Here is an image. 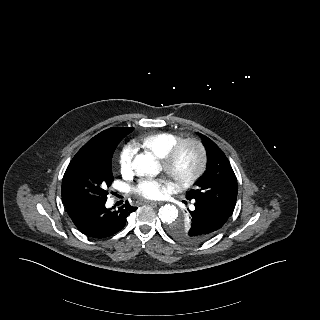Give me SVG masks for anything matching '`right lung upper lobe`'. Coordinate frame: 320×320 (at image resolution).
<instances>
[{
	"label": "right lung upper lobe",
	"mask_w": 320,
	"mask_h": 320,
	"mask_svg": "<svg viewBox=\"0 0 320 320\" xmlns=\"http://www.w3.org/2000/svg\"><path fill=\"white\" fill-rule=\"evenodd\" d=\"M133 128L128 127H112L107 130L102 131L90 141H88L79 151L87 152L90 150H98L102 144L107 141L123 139L127 134H129Z\"/></svg>",
	"instance_id": "right-lung-upper-lobe-1"
}]
</instances>
